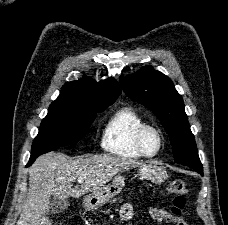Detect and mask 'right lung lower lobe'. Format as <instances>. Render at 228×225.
<instances>
[{
	"instance_id": "obj_1",
	"label": "right lung lower lobe",
	"mask_w": 228,
	"mask_h": 225,
	"mask_svg": "<svg viewBox=\"0 0 228 225\" xmlns=\"http://www.w3.org/2000/svg\"><path fill=\"white\" fill-rule=\"evenodd\" d=\"M55 149H57V148H50V149H45V150H41V151L31 152V157H30V160H29V163H28L27 166H29L30 164H32L35 161V159L38 156H40L41 154L50 152V151L55 150Z\"/></svg>"
}]
</instances>
